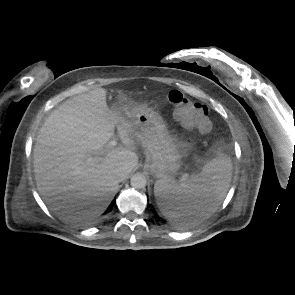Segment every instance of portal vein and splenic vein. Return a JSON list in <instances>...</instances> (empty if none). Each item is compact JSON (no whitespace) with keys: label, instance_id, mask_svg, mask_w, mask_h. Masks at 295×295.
<instances>
[{"label":"portal vein and splenic vein","instance_id":"18ae733b","mask_svg":"<svg viewBox=\"0 0 295 295\" xmlns=\"http://www.w3.org/2000/svg\"><path fill=\"white\" fill-rule=\"evenodd\" d=\"M117 145V142L115 141V140H113V141H111V142H109L108 144H107V149H109V148H112V147H114V146H116ZM99 160V158L98 157H87L86 158V162L87 163H94V162H96V161H98Z\"/></svg>","mask_w":295,"mask_h":295}]
</instances>
